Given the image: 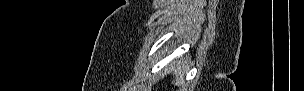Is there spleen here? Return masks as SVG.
<instances>
[{"mask_svg": "<svg viewBox=\"0 0 304 91\" xmlns=\"http://www.w3.org/2000/svg\"><path fill=\"white\" fill-rule=\"evenodd\" d=\"M174 73H175V75H177L179 73V71L178 70H174Z\"/></svg>", "mask_w": 304, "mask_h": 91, "instance_id": "spleen-1", "label": "spleen"}]
</instances>
